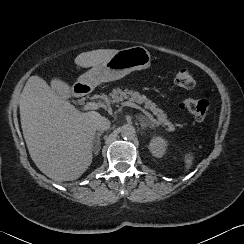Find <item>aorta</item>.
I'll use <instances>...</instances> for the list:
<instances>
[{
	"mask_svg": "<svg viewBox=\"0 0 244 244\" xmlns=\"http://www.w3.org/2000/svg\"><path fill=\"white\" fill-rule=\"evenodd\" d=\"M120 134L125 139L131 138L135 135V128L130 124H125L120 127Z\"/></svg>",
	"mask_w": 244,
	"mask_h": 244,
	"instance_id": "762f6f07",
	"label": "aorta"
}]
</instances>
